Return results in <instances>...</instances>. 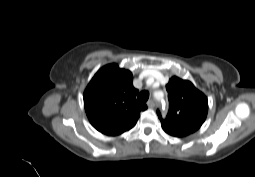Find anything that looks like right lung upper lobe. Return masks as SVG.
I'll list each match as a JSON object with an SVG mask.
<instances>
[{
    "label": "right lung upper lobe",
    "instance_id": "obj_1",
    "mask_svg": "<svg viewBox=\"0 0 255 177\" xmlns=\"http://www.w3.org/2000/svg\"><path fill=\"white\" fill-rule=\"evenodd\" d=\"M132 81V73L114 63L94 75L83 98L87 117L96 130L116 136L136 124L140 112L147 106L136 100L138 90Z\"/></svg>",
    "mask_w": 255,
    "mask_h": 177
}]
</instances>
